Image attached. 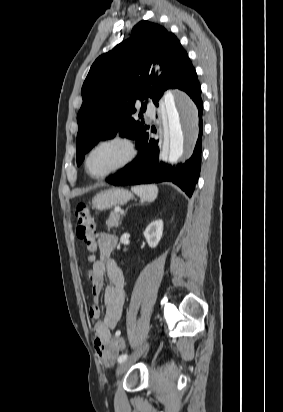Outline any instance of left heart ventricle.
Masks as SVG:
<instances>
[{
    "label": "left heart ventricle",
    "instance_id": "left-heart-ventricle-1",
    "mask_svg": "<svg viewBox=\"0 0 283 412\" xmlns=\"http://www.w3.org/2000/svg\"><path fill=\"white\" fill-rule=\"evenodd\" d=\"M127 154L121 143H110L97 148L89 159V169L93 174H102L117 166Z\"/></svg>",
    "mask_w": 283,
    "mask_h": 412
}]
</instances>
